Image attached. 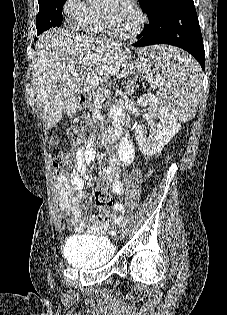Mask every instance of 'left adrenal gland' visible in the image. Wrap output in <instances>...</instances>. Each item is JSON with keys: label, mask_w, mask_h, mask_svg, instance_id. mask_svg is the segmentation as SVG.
I'll return each mask as SVG.
<instances>
[{"label": "left adrenal gland", "mask_w": 227, "mask_h": 315, "mask_svg": "<svg viewBox=\"0 0 227 315\" xmlns=\"http://www.w3.org/2000/svg\"><path fill=\"white\" fill-rule=\"evenodd\" d=\"M136 78H134L133 80H131V81H129L130 82V84L129 85H127L126 87H127V93L128 94H132L133 92H134V84L136 83Z\"/></svg>", "instance_id": "left-adrenal-gland-1"}]
</instances>
